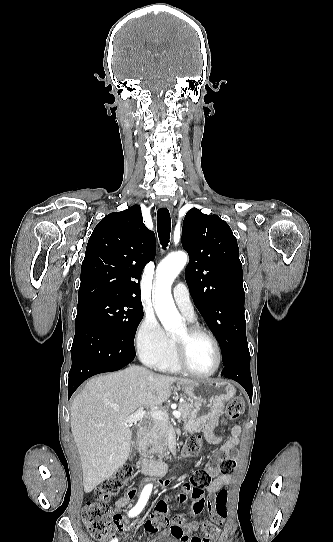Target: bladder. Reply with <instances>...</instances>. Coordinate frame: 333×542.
<instances>
[{
	"instance_id": "obj_1",
	"label": "bladder",
	"mask_w": 333,
	"mask_h": 542,
	"mask_svg": "<svg viewBox=\"0 0 333 542\" xmlns=\"http://www.w3.org/2000/svg\"><path fill=\"white\" fill-rule=\"evenodd\" d=\"M153 542H179L174 536H165L155 539Z\"/></svg>"
}]
</instances>
